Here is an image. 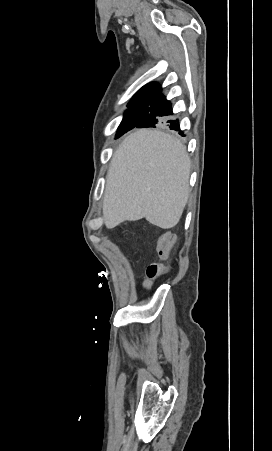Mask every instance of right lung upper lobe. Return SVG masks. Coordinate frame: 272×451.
Listing matches in <instances>:
<instances>
[{
  "label": "right lung upper lobe",
  "mask_w": 272,
  "mask_h": 451,
  "mask_svg": "<svg viewBox=\"0 0 272 451\" xmlns=\"http://www.w3.org/2000/svg\"><path fill=\"white\" fill-rule=\"evenodd\" d=\"M161 92L160 86L155 83H149L143 86L132 98L133 99H148L155 98Z\"/></svg>",
  "instance_id": "cb5924a9"
}]
</instances>
